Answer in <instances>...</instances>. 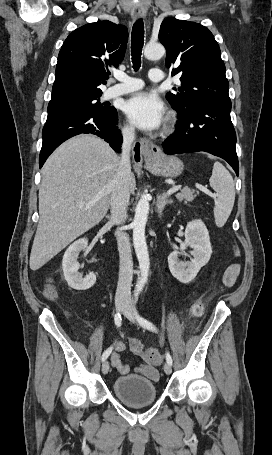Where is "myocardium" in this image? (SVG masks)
I'll list each match as a JSON object with an SVG mask.
<instances>
[{"label":"myocardium","mask_w":272,"mask_h":455,"mask_svg":"<svg viewBox=\"0 0 272 455\" xmlns=\"http://www.w3.org/2000/svg\"><path fill=\"white\" fill-rule=\"evenodd\" d=\"M173 124H174V118L171 116V117L169 118V124H168V126H167V131L170 130V129L172 128Z\"/></svg>","instance_id":"obj_1"}]
</instances>
